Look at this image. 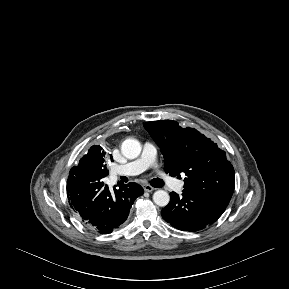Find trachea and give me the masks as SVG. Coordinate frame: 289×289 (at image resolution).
Returning a JSON list of instances; mask_svg holds the SVG:
<instances>
[{"instance_id": "trachea-1", "label": "trachea", "mask_w": 289, "mask_h": 289, "mask_svg": "<svg viewBox=\"0 0 289 289\" xmlns=\"http://www.w3.org/2000/svg\"><path fill=\"white\" fill-rule=\"evenodd\" d=\"M151 185L156 188H161L164 186V182L159 178H155L151 181Z\"/></svg>"}]
</instances>
